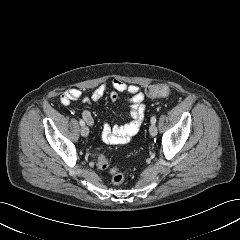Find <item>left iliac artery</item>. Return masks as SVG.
I'll return each instance as SVG.
<instances>
[{
  "label": "left iliac artery",
  "mask_w": 240,
  "mask_h": 240,
  "mask_svg": "<svg viewBox=\"0 0 240 240\" xmlns=\"http://www.w3.org/2000/svg\"><path fill=\"white\" fill-rule=\"evenodd\" d=\"M151 123H152V124H155V123H156V117H155V116H152V117H151Z\"/></svg>",
  "instance_id": "44dca946"
}]
</instances>
